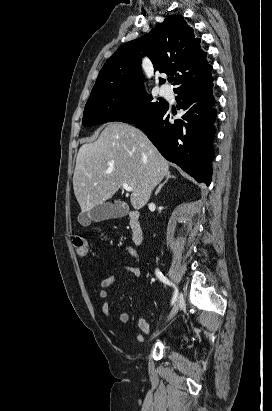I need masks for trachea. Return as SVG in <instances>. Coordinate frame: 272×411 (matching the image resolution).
Wrapping results in <instances>:
<instances>
[{
    "instance_id": "obj_1",
    "label": "trachea",
    "mask_w": 272,
    "mask_h": 411,
    "mask_svg": "<svg viewBox=\"0 0 272 411\" xmlns=\"http://www.w3.org/2000/svg\"><path fill=\"white\" fill-rule=\"evenodd\" d=\"M173 80H174L173 78H170V79H169V82H173Z\"/></svg>"
}]
</instances>
